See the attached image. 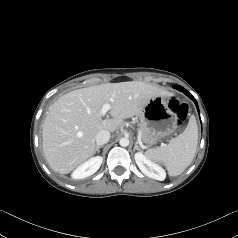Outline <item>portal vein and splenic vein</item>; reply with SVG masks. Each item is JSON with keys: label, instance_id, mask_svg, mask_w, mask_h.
Wrapping results in <instances>:
<instances>
[{"label": "portal vein and splenic vein", "instance_id": "obj_1", "mask_svg": "<svg viewBox=\"0 0 238 238\" xmlns=\"http://www.w3.org/2000/svg\"><path fill=\"white\" fill-rule=\"evenodd\" d=\"M110 109H111V105L108 103H105L100 110V114L104 116Z\"/></svg>", "mask_w": 238, "mask_h": 238}]
</instances>
